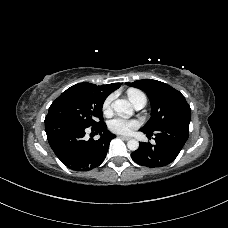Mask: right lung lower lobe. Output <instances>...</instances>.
Returning <instances> with one entry per match:
<instances>
[{
  "label": "right lung lower lobe",
  "mask_w": 228,
  "mask_h": 228,
  "mask_svg": "<svg viewBox=\"0 0 228 228\" xmlns=\"http://www.w3.org/2000/svg\"><path fill=\"white\" fill-rule=\"evenodd\" d=\"M84 127L75 122L54 118L45 120V130L48 142L56 156L68 168L74 171H88L98 167L106 157L110 140L116 137L106 130L103 122L91 127L100 134L98 140L84 139Z\"/></svg>",
  "instance_id": "98d812e1"
}]
</instances>
